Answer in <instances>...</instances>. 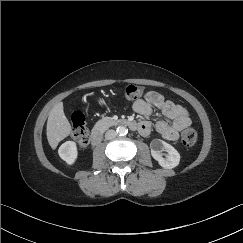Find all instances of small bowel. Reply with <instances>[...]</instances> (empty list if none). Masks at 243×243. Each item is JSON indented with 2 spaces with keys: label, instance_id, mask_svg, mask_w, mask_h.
Wrapping results in <instances>:
<instances>
[{
  "label": "small bowel",
  "instance_id": "1",
  "mask_svg": "<svg viewBox=\"0 0 243 243\" xmlns=\"http://www.w3.org/2000/svg\"><path fill=\"white\" fill-rule=\"evenodd\" d=\"M155 107L170 121L159 119L155 123L157 133L166 140L174 141L179 137L181 130L191 125L187 110L181 105L165 99L157 91H148L143 98L134 101L133 110L143 116H149ZM138 132L142 136H149L152 132V124L149 121L139 122Z\"/></svg>",
  "mask_w": 243,
  "mask_h": 243
}]
</instances>
